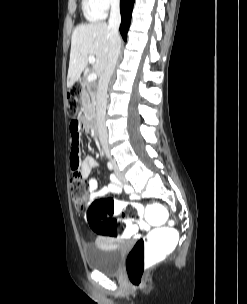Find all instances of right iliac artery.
I'll return each mask as SVG.
<instances>
[{
  "mask_svg": "<svg viewBox=\"0 0 247 304\" xmlns=\"http://www.w3.org/2000/svg\"><path fill=\"white\" fill-rule=\"evenodd\" d=\"M107 166H108V169H109V170H113V169H114V166H113V164H112L110 161L107 163ZM111 177H114V178H115L114 175H111Z\"/></svg>",
  "mask_w": 247,
  "mask_h": 304,
  "instance_id": "82829eb1",
  "label": "right iliac artery"
}]
</instances>
